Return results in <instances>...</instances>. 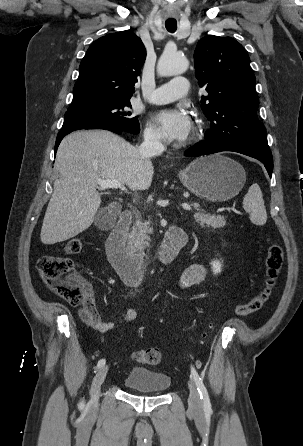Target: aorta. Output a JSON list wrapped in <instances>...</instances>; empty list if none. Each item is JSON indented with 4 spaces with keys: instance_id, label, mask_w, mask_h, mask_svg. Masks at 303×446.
Here are the masks:
<instances>
[{
    "instance_id": "1",
    "label": "aorta",
    "mask_w": 303,
    "mask_h": 446,
    "mask_svg": "<svg viewBox=\"0 0 303 446\" xmlns=\"http://www.w3.org/2000/svg\"><path fill=\"white\" fill-rule=\"evenodd\" d=\"M188 68L185 57L164 51L157 64V73L160 76H172L184 73Z\"/></svg>"
}]
</instances>
